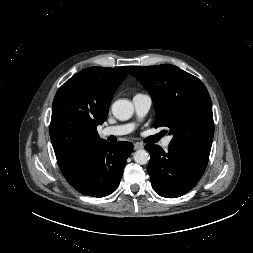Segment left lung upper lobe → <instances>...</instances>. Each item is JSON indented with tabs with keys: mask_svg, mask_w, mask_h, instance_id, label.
<instances>
[{
	"mask_svg": "<svg viewBox=\"0 0 253 253\" xmlns=\"http://www.w3.org/2000/svg\"><path fill=\"white\" fill-rule=\"evenodd\" d=\"M132 76L149 91L155 107V127L173 135L169 147L209 159L214 136L212 103L205 85L195 76L170 64L135 66Z\"/></svg>",
	"mask_w": 253,
	"mask_h": 253,
	"instance_id": "obj_1",
	"label": "left lung upper lobe"
}]
</instances>
